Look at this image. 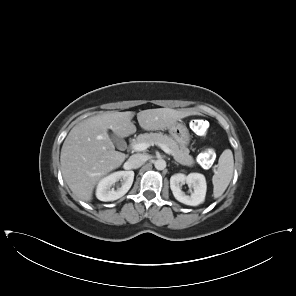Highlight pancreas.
<instances>
[{
    "label": "pancreas",
    "mask_w": 296,
    "mask_h": 296,
    "mask_svg": "<svg viewBox=\"0 0 296 296\" xmlns=\"http://www.w3.org/2000/svg\"><path fill=\"white\" fill-rule=\"evenodd\" d=\"M143 142L149 143L150 145H166L172 151L174 159L181 165L193 167L195 164L193 157L189 155V149L185 146H180L175 140L167 135L162 133L140 134L133 143L137 144Z\"/></svg>",
    "instance_id": "obj_1"
}]
</instances>
